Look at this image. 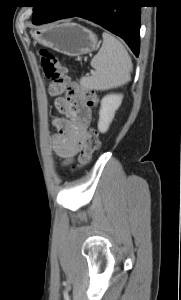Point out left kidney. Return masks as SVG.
<instances>
[{"label":"left kidney","mask_w":181,"mask_h":300,"mask_svg":"<svg viewBox=\"0 0 181 300\" xmlns=\"http://www.w3.org/2000/svg\"><path fill=\"white\" fill-rule=\"evenodd\" d=\"M123 95L121 94H109L103 97L101 100V107L99 110V122L98 130L101 133H105L115 115V111L120 107L122 103Z\"/></svg>","instance_id":"5707ae66"}]
</instances>
